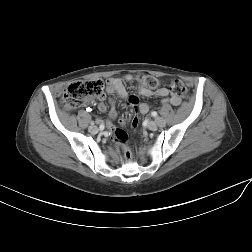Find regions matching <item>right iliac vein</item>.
Returning a JSON list of instances; mask_svg holds the SVG:
<instances>
[{
  "label": "right iliac vein",
  "instance_id": "right-iliac-vein-1",
  "mask_svg": "<svg viewBox=\"0 0 252 252\" xmlns=\"http://www.w3.org/2000/svg\"><path fill=\"white\" fill-rule=\"evenodd\" d=\"M89 132L92 133V134H96L98 132V127L96 125H91L89 128H88Z\"/></svg>",
  "mask_w": 252,
  "mask_h": 252
}]
</instances>
